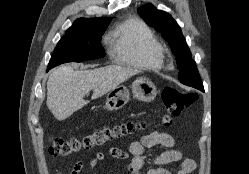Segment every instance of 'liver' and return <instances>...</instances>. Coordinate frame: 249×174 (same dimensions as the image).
I'll return each mask as SVG.
<instances>
[{
  "instance_id": "obj_1",
  "label": "liver",
  "mask_w": 249,
  "mask_h": 174,
  "mask_svg": "<svg viewBox=\"0 0 249 174\" xmlns=\"http://www.w3.org/2000/svg\"><path fill=\"white\" fill-rule=\"evenodd\" d=\"M139 72L117 65L84 71L74 70L70 65L60 66L48 78L47 107L57 120H65L88 103L83 98L91 90L92 99H97Z\"/></svg>"
}]
</instances>
